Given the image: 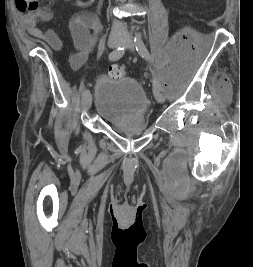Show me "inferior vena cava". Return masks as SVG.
<instances>
[{
  "mask_svg": "<svg viewBox=\"0 0 253 267\" xmlns=\"http://www.w3.org/2000/svg\"><path fill=\"white\" fill-rule=\"evenodd\" d=\"M118 2V0H117ZM113 28H123L121 22H118V20H114L113 22Z\"/></svg>",
  "mask_w": 253,
  "mask_h": 267,
  "instance_id": "obj_1",
  "label": "inferior vena cava"
}]
</instances>
